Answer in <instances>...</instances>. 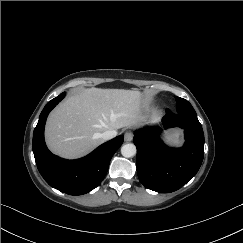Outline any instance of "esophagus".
Segmentation results:
<instances>
[{"label":"esophagus","instance_id":"esophagus-1","mask_svg":"<svg viewBox=\"0 0 243 243\" xmlns=\"http://www.w3.org/2000/svg\"><path fill=\"white\" fill-rule=\"evenodd\" d=\"M133 139V133L131 131H126L124 134V140L130 142Z\"/></svg>","mask_w":243,"mask_h":243}]
</instances>
